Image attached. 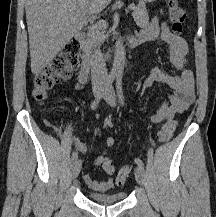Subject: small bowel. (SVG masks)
Returning a JSON list of instances; mask_svg holds the SVG:
<instances>
[{"mask_svg": "<svg viewBox=\"0 0 216 217\" xmlns=\"http://www.w3.org/2000/svg\"><path fill=\"white\" fill-rule=\"evenodd\" d=\"M139 35L142 37L143 42L153 41L159 38L168 47L170 63L180 71L178 76H174L165 73L159 67H154L142 84V92L155 84H161L170 90L167 96L161 101L158 112L151 117V122L158 124L172 119L175 115L184 113L194 102L195 84L193 72L188 68V44L185 39L172 32L166 22L158 17L154 18L150 25L140 32ZM86 82L87 74L79 72L77 87L86 84ZM114 144V138H106L104 149L94 160L96 166L103 167L106 161H111L108 150ZM74 145L80 152H87V147L77 137L74 138ZM84 180L90 188L96 191H107L113 187V180L111 178L96 180L90 174H85Z\"/></svg>", "mask_w": 216, "mask_h": 217, "instance_id": "1", "label": "small bowel"}]
</instances>
